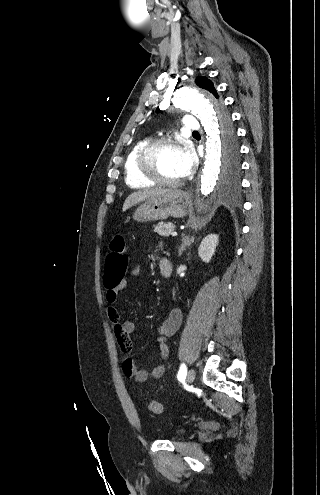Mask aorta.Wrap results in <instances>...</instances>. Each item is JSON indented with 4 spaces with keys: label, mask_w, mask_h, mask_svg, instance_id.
<instances>
[{
    "label": "aorta",
    "mask_w": 320,
    "mask_h": 495,
    "mask_svg": "<svg viewBox=\"0 0 320 495\" xmlns=\"http://www.w3.org/2000/svg\"><path fill=\"white\" fill-rule=\"evenodd\" d=\"M174 107L189 110L199 119L206 132V154L199 186L206 197L215 188L221 167V120L219 104L203 89H180L173 97ZM205 199V198H204ZM210 209L208 200L196 205V213L204 214Z\"/></svg>",
    "instance_id": "obj_1"
}]
</instances>
